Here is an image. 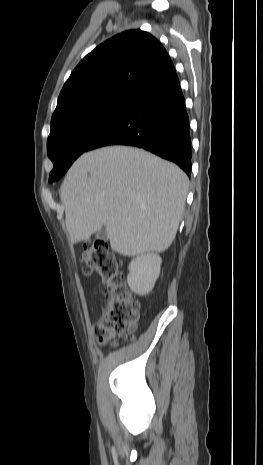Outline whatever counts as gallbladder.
Wrapping results in <instances>:
<instances>
[{
    "label": "gallbladder",
    "mask_w": 263,
    "mask_h": 465,
    "mask_svg": "<svg viewBox=\"0 0 263 465\" xmlns=\"http://www.w3.org/2000/svg\"><path fill=\"white\" fill-rule=\"evenodd\" d=\"M95 236L97 239L108 240V236H107V232L105 228H102L98 232H96Z\"/></svg>",
    "instance_id": "bac80fb5"
}]
</instances>
